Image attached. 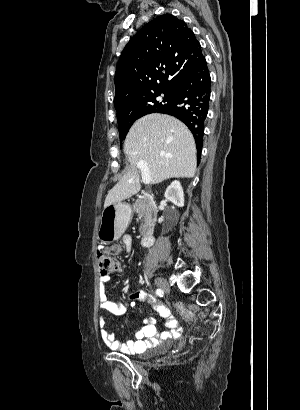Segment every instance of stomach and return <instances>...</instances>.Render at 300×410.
<instances>
[{"label": "stomach", "instance_id": "stomach-1", "mask_svg": "<svg viewBox=\"0 0 300 410\" xmlns=\"http://www.w3.org/2000/svg\"><path fill=\"white\" fill-rule=\"evenodd\" d=\"M132 215L130 205L116 202L104 208L98 238L103 243L115 241L126 230Z\"/></svg>", "mask_w": 300, "mask_h": 410}]
</instances>
